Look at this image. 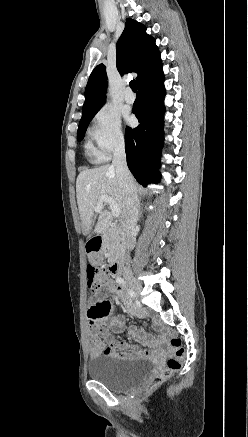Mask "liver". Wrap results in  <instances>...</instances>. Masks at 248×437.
<instances>
[{
	"instance_id": "1",
	"label": "liver",
	"mask_w": 248,
	"mask_h": 437,
	"mask_svg": "<svg viewBox=\"0 0 248 437\" xmlns=\"http://www.w3.org/2000/svg\"><path fill=\"white\" fill-rule=\"evenodd\" d=\"M76 196L85 235H88L92 228L94 208L101 196L112 198L120 207L122 217L125 215L124 192L113 166L105 165L80 172L76 181ZM112 220V214L104 209L103 205L93 232L97 235L104 234L109 229Z\"/></svg>"
}]
</instances>
